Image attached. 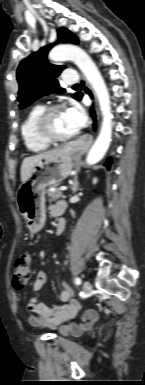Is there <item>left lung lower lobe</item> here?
<instances>
[{
	"label": "left lung lower lobe",
	"instance_id": "1",
	"mask_svg": "<svg viewBox=\"0 0 145 385\" xmlns=\"http://www.w3.org/2000/svg\"><path fill=\"white\" fill-rule=\"evenodd\" d=\"M85 90H86V92H87L90 96H92L91 93H90L87 89H85ZM91 116L95 119V113H94V110H93V109H91ZM110 164H111V159L109 158V159L107 160L106 164H105V166L107 167V169H110Z\"/></svg>",
	"mask_w": 145,
	"mask_h": 385
}]
</instances>
